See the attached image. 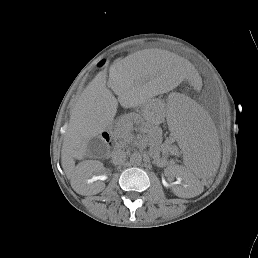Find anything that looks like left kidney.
I'll return each mask as SVG.
<instances>
[{"mask_svg":"<svg viewBox=\"0 0 258 258\" xmlns=\"http://www.w3.org/2000/svg\"><path fill=\"white\" fill-rule=\"evenodd\" d=\"M175 194L179 197H192V196H194L193 194L190 193L189 188L184 187V186H177Z\"/></svg>","mask_w":258,"mask_h":258,"instance_id":"obj_1","label":"left kidney"}]
</instances>
